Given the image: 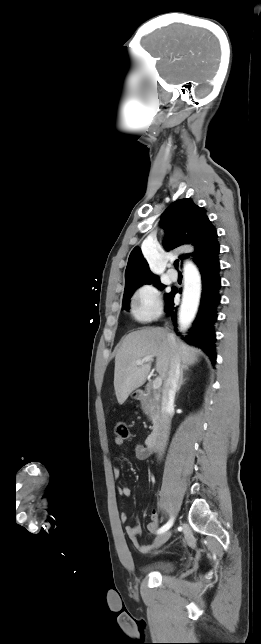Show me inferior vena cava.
<instances>
[{
    "mask_svg": "<svg viewBox=\"0 0 261 644\" xmlns=\"http://www.w3.org/2000/svg\"><path fill=\"white\" fill-rule=\"evenodd\" d=\"M181 375V366L180 359L178 354H175L171 358L170 368L168 371L167 379L164 381L162 389V400H161V420L159 424L158 440H157V451L159 456H161L167 446L171 418L170 412L174 408V399L177 390Z\"/></svg>",
    "mask_w": 261,
    "mask_h": 644,
    "instance_id": "602c4592",
    "label": "inferior vena cava"
}]
</instances>
